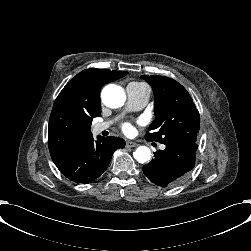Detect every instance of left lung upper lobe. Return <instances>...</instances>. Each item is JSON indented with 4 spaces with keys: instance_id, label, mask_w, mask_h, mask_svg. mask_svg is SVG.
<instances>
[{
    "instance_id": "5c2ea615",
    "label": "left lung upper lobe",
    "mask_w": 251,
    "mask_h": 251,
    "mask_svg": "<svg viewBox=\"0 0 251 251\" xmlns=\"http://www.w3.org/2000/svg\"><path fill=\"white\" fill-rule=\"evenodd\" d=\"M142 78L153 88L155 119L145 138L162 144L196 143L200 117L191 96L174 79L165 76Z\"/></svg>"
}]
</instances>
